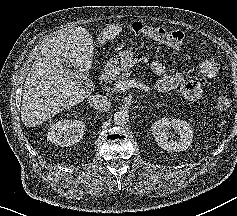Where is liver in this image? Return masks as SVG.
Wrapping results in <instances>:
<instances>
[{
  "instance_id": "liver-1",
  "label": "liver",
  "mask_w": 237,
  "mask_h": 216,
  "mask_svg": "<svg viewBox=\"0 0 237 216\" xmlns=\"http://www.w3.org/2000/svg\"><path fill=\"white\" fill-rule=\"evenodd\" d=\"M94 53L92 36L84 26L68 27L44 43L39 64L24 82L22 116L26 126L46 122L92 95L78 79L92 71Z\"/></svg>"
}]
</instances>
